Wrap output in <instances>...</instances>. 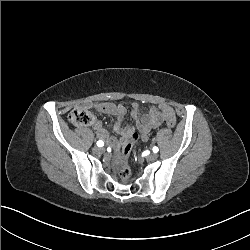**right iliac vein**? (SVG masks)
I'll return each mask as SVG.
<instances>
[{
  "label": "right iliac vein",
  "mask_w": 250,
  "mask_h": 250,
  "mask_svg": "<svg viewBox=\"0 0 250 250\" xmlns=\"http://www.w3.org/2000/svg\"><path fill=\"white\" fill-rule=\"evenodd\" d=\"M93 152H94L95 154H101V153L104 152V149L99 148V147L96 146V147L93 148Z\"/></svg>",
  "instance_id": "obj_1"
}]
</instances>
